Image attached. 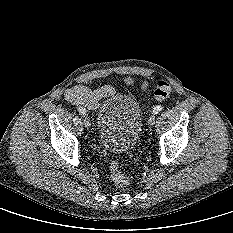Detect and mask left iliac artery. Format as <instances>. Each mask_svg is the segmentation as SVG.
Instances as JSON below:
<instances>
[{
  "instance_id": "1",
  "label": "left iliac artery",
  "mask_w": 233,
  "mask_h": 233,
  "mask_svg": "<svg viewBox=\"0 0 233 233\" xmlns=\"http://www.w3.org/2000/svg\"><path fill=\"white\" fill-rule=\"evenodd\" d=\"M162 106H156L153 109V114H158L162 110Z\"/></svg>"
}]
</instances>
